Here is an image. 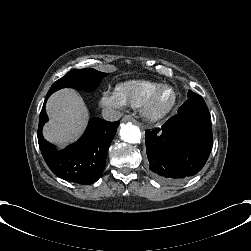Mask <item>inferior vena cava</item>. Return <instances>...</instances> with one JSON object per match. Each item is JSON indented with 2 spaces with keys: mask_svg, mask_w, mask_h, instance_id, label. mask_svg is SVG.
<instances>
[{
  "mask_svg": "<svg viewBox=\"0 0 251 251\" xmlns=\"http://www.w3.org/2000/svg\"><path fill=\"white\" fill-rule=\"evenodd\" d=\"M102 116L107 121H116L121 118L122 112L115 108L107 106L103 108Z\"/></svg>",
  "mask_w": 251,
  "mask_h": 251,
  "instance_id": "obj_1",
  "label": "inferior vena cava"
}]
</instances>
